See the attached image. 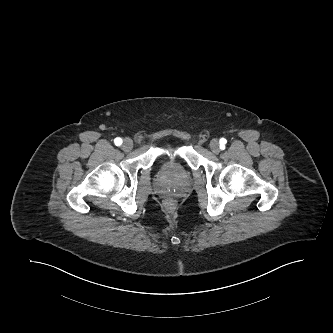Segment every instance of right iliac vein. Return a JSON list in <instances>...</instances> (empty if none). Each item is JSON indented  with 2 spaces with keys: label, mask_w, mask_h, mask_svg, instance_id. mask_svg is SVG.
<instances>
[{
  "label": "right iliac vein",
  "mask_w": 333,
  "mask_h": 333,
  "mask_svg": "<svg viewBox=\"0 0 333 333\" xmlns=\"http://www.w3.org/2000/svg\"><path fill=\"white\" fill-rule=\"evenodd\" d=\"M133 148V141L129 138L124 139L123 145H122V149L125 152H129L131 151Z\"/></svg>",
  "instance_id": "obj_1"
}]
</instances>
